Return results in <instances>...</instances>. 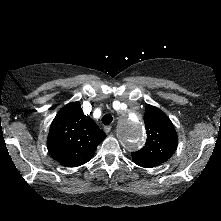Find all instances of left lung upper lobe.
<instances>
[{
  "label": "left lung upper lobe",
  "mask_w": 221,
  "mask_h": 221,
  "mask_svg": "<svg viewBox=\"0 0 221 221\" xmlns=\"http://www.w3.org/2000/svg\"><path fill=\"white\" fill-rule=\"evenodd\" d=\"M147 141L132 153L133 161L141 167H154L168 160L177 149L178 138L169 117L160 109L147 105L144 115Z\"/></svg>",
  "instance_id": "obj_1"
}]
</instances>
